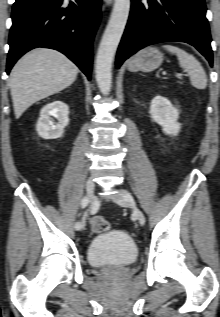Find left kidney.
<instances>
[{
    "label": "left kidney",
    "mask_w": 220,
    "mask_h": 317,
    "mask_svg": "<svg viewBox=\"0 0 220 317\" xmlns=\"http://www.w3.org/2000/svg\"><path fill=\"white\" fill-rule=\"evenodd\" d=\"M150 114L153 121L162 126L167 134L177 135L180 124L177 122L178 111L171 102L163 96L157 95L153 98L150 105Z\"/></svg>",
    "instance_id": "left-kidney-1"
}]
</instances>
